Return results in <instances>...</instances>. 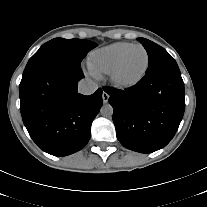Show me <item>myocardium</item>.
<instances>
[{"label": "myocardium", "instance_id": "obj_1", "mask_svg": "<svg viewBox=\"0 0 207 207\" xmlns=\"http://www.w3.org/2000/svg\"><path fill=\"white\" fill-rule=\"evenodd\" d=\"M137 47L141 48L145 53L146 60H145V65H144L143 70L141 71V73L137 77H135L131 80L120 79L119 78V71H120L125 59L129 55V53L134 48H137ZM148 69H149V54H148L147 49L142 44H139V43L133 44L120 56V58L118 59V61L116 62V64L114 65V67L112 68V70L109 73V80L112 83V85H114L116 88H119V89L131 88V87L139 84L144 79V77L147 74Z\"/></svg>", "mask_w": 207, "mask_h": 207}]
</instances>
